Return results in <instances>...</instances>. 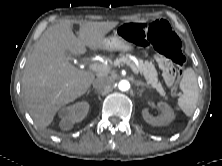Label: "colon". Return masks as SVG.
<instances>
[{
    "label": "colon",
    "instance_id": "5ec220e1",
    "mask_svg": "<svg viewBox=\"0 0 222 166\" xmlns=\"http://www.w3.org/2000/svg\"><path fill=\"white\" fill-rule=\"evenodd\" d=\"M119 35L136 45L153 46L162 56L160 68L167 85L177 93V81L184 71L186 57L181 50L178 35L165 20L128 23L119 29Z\"/></svg>",
    "mask_w": 222,
    "mask_h": 166
}]
</instances>
